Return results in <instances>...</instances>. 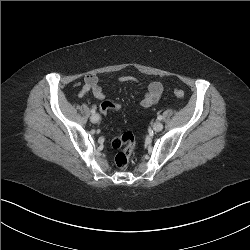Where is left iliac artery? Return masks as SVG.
I'll return each instance as SVG.
<instances>
[{"label": "left iliac artery", "mask_w": 250, "mask_h": 250, "mask_svg": "<svg viewBox=\"0 0 250 250\" xmlns=\"http://www.w3.org/2000/svg\"><path fill=\"white\" fill-rule=\"evenodd\" d=\"M157 118H158V120H162V116L161 115H159Z\"/></svg>", "instance_id": "1"}]
</instances>
